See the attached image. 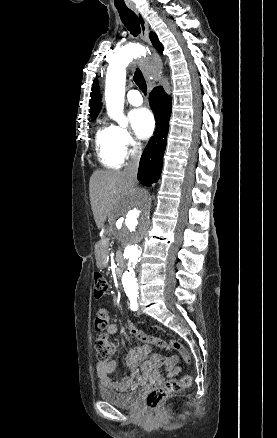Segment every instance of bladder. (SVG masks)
I'll use <instances>...</instances> for the list:
<instances>
[{
	"instance_id": "31cf9c89",
	"label": "bladder",
	"mask_w": 277,
	"mask_h": 438,
	"mask_svg": "<svg viewBox=\"0 0 277 438\" xmlns=\"http://www.w3.org/2000/svg\"><path fill=\"white\" fill-rule=\"evenodd\" d=\"M97 395L103 402L122 409H134L141 400V392L138 390L123 394L117 390L105 387L98 390Z\"/></svg>"
}]
</instances>
